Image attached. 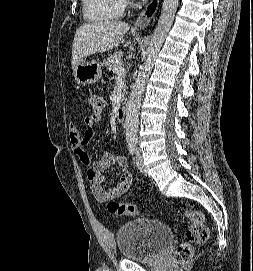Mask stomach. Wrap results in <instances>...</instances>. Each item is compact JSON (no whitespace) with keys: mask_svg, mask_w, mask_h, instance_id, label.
Instances as JSON below:
<instances>
[{"mask_svg":"<svg viewBox=\"0 0 253 271\" xmlns=\"http://www.w3.org/2000/svg\"><path fill=\"white\" fill-rule=\"evenodd\" d=\"M73 75L77 83L82 85L97 82L102 76L101 64L96 61L82 59L73 69Z\"/></svg>","mask_w":253,"mask_h":271,"instance_id":"obj_1","label":"stomach"}]
</instances>
